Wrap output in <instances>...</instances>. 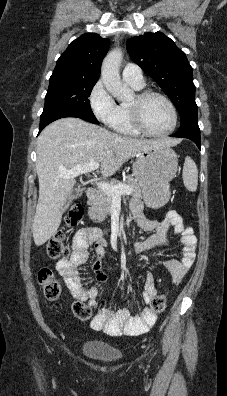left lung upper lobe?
Returning a JSON list of instances; mask_svg holds the SVG:
<instances>
[{"instance_id":"left-lung-upper-lobe-1","label":"left lung upper lobe","mask_w":227,"mask_h":396,"mask_svg":"<svg viewBox=\"0 0 227 396\" xmlns=\"http://www.w3.org/2000/svg\"><path fill=\"white\" fill-rule=\"evenodd\" d=\"M132 60L148 73L171 99L183 121L197 113L193 71L186 55L163 33H145L127 40Z\"/></svg>"}]
</instances>
